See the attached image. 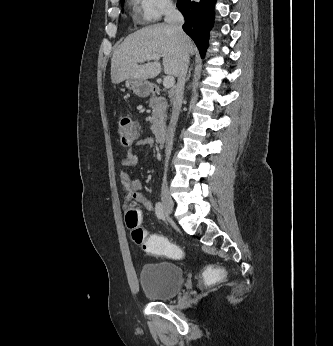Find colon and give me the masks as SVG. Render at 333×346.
I'll list each match as a JSON object with an SVG mask.
<instances>
[{
	"label": "colon",
	"instance_id": "1",
	"mask_svg": "<svg viewBox=\"0 0 333 346\" xmlns=\"http://www.w3.org/2000/svg\"><path fill=\"white\" fill-rule=\"evenodd\" d=\"M138 125L130 117L124 116L119 121L118 134L123 146H131L138 138ZM141 213L135 203H130L126 210L125 222L131 230L132 239L143 247L148 256H166L168 260H183L182 244H170L171 236L164 233L147 235L140 226ZM202 276H206L207 286L211 287L214 280L219 282L226 276V269H219L218 264H209L208 269H202Z\"/></svg>",
	"mask_w": 333,
	"mask_h": 346
}]
</instances>
